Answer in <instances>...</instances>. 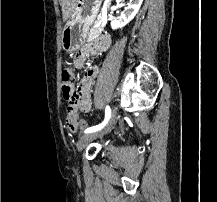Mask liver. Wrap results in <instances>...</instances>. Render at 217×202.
<instances>
[{"instance_id":"obj_1","label":"liver","mask_w":217,"mask_h":202,"mask_svg":"<svg viewBox=\"0 0 217 202\" xmlns=\"http://www.w3.org/2000/svg\"><path fill=\"white\" fill-rule=\"evenodd\" d=\"M60 6H62L63 22H66L70 16H72L77 0H59Z\"/></svg>"}]
</instances>
